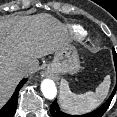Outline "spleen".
<instances>
[{"label":"spleen","mask_w":117,"mask_h":117,"mask_svg":"<svg viewBox=\"0 0 117 117\" xmlns=\"http://www.w3.org/2000/svg\"><path fill=\"white\" fill-rule=\"evenodd\" d=\"M110 84V75H106L94 92L88 91L84 94H76L70 90L68 82L62 80L59 94L60 105L69 114L88 113L104 101L108 95Z\"/></svg>","instance_id":"spleen-1"}]
</instances>
